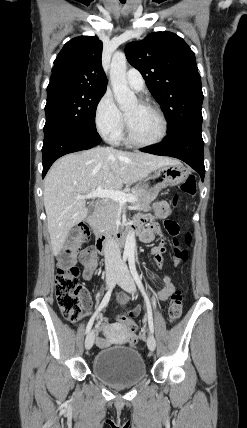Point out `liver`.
I'll use <instances>...</instances> for the list:
<instances>
[{
  "instance_id": "obj_1",
  "label": "liver",
  "mask_w": 247,
  "mask_h": 428,
  "mask_svg": "<svg viewBox=\"0 0 247 428\" xmlns=\"http://www.w3.org/2000/svg\"><path fill=\"white\" fill-rule=\"evenodd\" d=\"M179 161L147 153L95 147L57 160L44 181L43 201L53 254L62 250L69 231L88 215L86 195L97 187L119 190L143 180L162 166Z\"/></svg>"
}]
</instances>
